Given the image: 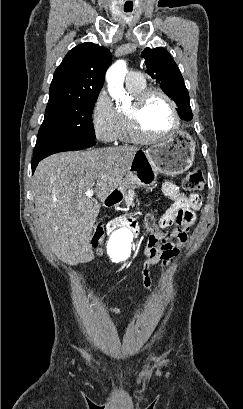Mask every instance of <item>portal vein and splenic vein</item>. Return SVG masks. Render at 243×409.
<instances>
[{
	"label": "portal vein and splenic vein",
	"instance_id": "1",
	"mask_svg": "<svg viewBox=\"0 0 243 409\" xmlns=\"http://www.w3.org/2000/svg\"><path fill=\"white\" fill-rule=\"evenodd\" d=\"M94 195V190L93 189H89L86 191L85 196L88 198H91Z\"/></svg>",
	"mask_w": 243,
	"mask_h": 409
}]
</instances>
